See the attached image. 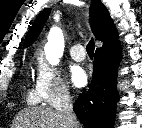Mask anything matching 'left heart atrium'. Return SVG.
Returning <instances> with one entry per match:
<instances>
[{"label":"left heart atrium","instance_id":"39dd6f15","mask_svg":"<svg viewBox=\"0 0 142 128\" xmlns=\"http://www.w3.org/2000/svg\"><path fill=\"white\" fill-rule=\"evenodd\" d=\"M70 79L73 85L77 87L84 86L87 83V75L80 66L70 68Z\"/></svg>","mask_w":142,"mask_h":128}]
</instances>
